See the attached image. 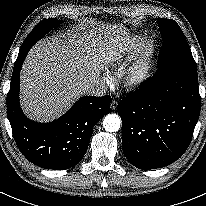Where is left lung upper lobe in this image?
<instances>
[{
    "instance_id": "5c2ea615",
    "label": "left lung upper lobe",
    "mask_w": 206,
    "mask_h": 206,
    "mask_svg": "<svg viewBox=\"0 0 206 206\" xmlns=\"http://www.w3.org/2000/svg\"><path fill=\"white\" fill-rule=\"evenodd\" d=\"M158 25L163 45L158 55L156 74L177 72L197 75V68L187 40L174 20L160 18Z\"/></svg>"
}]
</instances>
